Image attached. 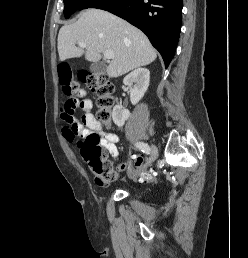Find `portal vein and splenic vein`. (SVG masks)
<instances>
[{
    "mask_svg": "<svg viewBox=\"0 0 248 258\" xmlns=\"http://www.w3.org/2000/svg\"><path fill=\"white\" fill-rule=\"evenodd\" d=\"M78 45L81 48H85L87 46L85 43H79ZM103 55L106 59H112L114 57V54L110 51H105Z\"/></svg>",
    "mask_w": 248,
    "mask_h": 258,
    "instance_id": "portal-vein-and-splenic-vein-1",
    "label": "portal vein and splenic vein"
}]
</instances>
